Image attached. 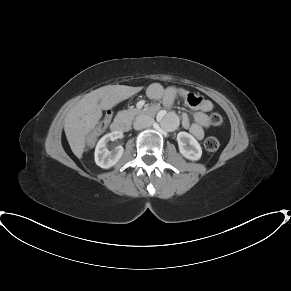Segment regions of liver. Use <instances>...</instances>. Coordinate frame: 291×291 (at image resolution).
I'll return each instance as SVG.
<instances>
[{
	"instance_id": "liver-1",
	"label": "liver",
	"mask_w": 291,
	"mask_h": 291,
	"mask_svg": "<svg viewBox=\"0 0 291 291\" xmlns=\"http://www.w3.org/2000/svg\"><path fill=\"white\" fill-rule=\"evenodd\" d=\"M140 87L107 85L86 94L65 117L64 131L72 152L81 158L86 134L98 124L102 109H109L138 93Z\"/></svg>"
}]
</instances>
